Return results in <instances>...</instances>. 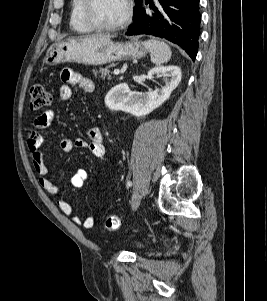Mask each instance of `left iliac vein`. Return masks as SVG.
Masks as SVG:
<instances>
[{
	"mask_svg": "<svg viewBox=\"0 0 267 301\" xmlns=\"http://www.w3.org/2000/svg\"><path fill=\"white\" fill-rule=\"evenodd\" d=\"M141 201V195L138 191H134L132 195L131 205L133 209H137Z\"/></svg>",
	"mask_w": 267,
	"mask_h": 301,
	"instance_id": "1",
	"label": "left iliac vein"
}]
</instances>
